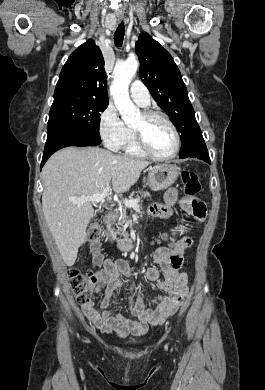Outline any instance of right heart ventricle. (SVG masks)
Masks as SVG:
<instances>
[{
	"label": "right heart ventricle",
	"mask_w": 265,
	"mask_h": 390,
	"mask_svg": "<svg viewBox=\"0 0 265 390\" xmlns=\"http://www.w3.org/2000/svg\"><path fill=\"white\" fill-rule=\"evenodd\" d=\"M121 149L124 151L125 154H127L131 157H135V158H145L146 157V155L141 151V149L139 148V146L136 142V138H135V134L133 132V129H130V128H129L128 136H127L125 142L123 143Z\"/></svg>",
	"instance_id": "e07e8e85"
}]
</instances>
